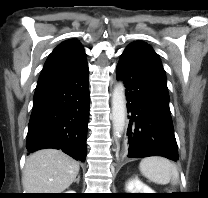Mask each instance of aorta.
<instances>
[{
  "label": "aorta",
  "mask_w": 208,
  "mask_h": 198,
  "mask_svg": "<svg viewBox=\"0 0 208 198\" xmlns=\"http://www.w3.org/2000/svg\"><path fill=\"white\" fill-rule=\"evenodd\" d=\"M126 118L125 87L122 82L117 83L112 95V120L114 135L121 137Z\"/></svg>",
  "instance_id": "obj_1"
}]
</instances>
